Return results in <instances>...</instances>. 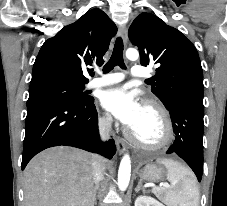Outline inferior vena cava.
<instances>
[{
	"instance_id": "obj_1",
	"label": "inferior vena cava",
	"mask_w": 227,
	"mask_h": 206,
	"mask_svg": "<svg viewBox=\"0 0 227 206\" xmlns=\"http://www.w3.org/2000/svg\"><path fill=\"white\" fill-rule=\"evenodd\" d=\"M112 117L111 115H107L100 121L99 130L102 140H108L110 131H111ZM93 174H94V182L96 185L102 180L105 166L104 160L102 157L95 155L94 160L92 162Z\"/></svg>"
}]
</instances>
